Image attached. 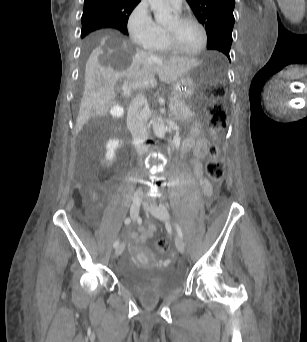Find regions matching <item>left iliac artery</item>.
<instances>
[{
  "instance_id": "left-iliac-artery-1",
  "label": "left iliac artery",
  "mask_w": 307,
  "mask_h": 342,
  "mask_svg": "<svg viewBox=\"0 0 307 342\" xmlns=\"http://www.w3.org/2000/svg\"><path fill=\"white\" fill-rule=\"evenodd\" d=\"M176 228H177V232H178L179 236L182 238L183 237L182 230L178 224H176Z\"/></svg>"
}]
</instances>
